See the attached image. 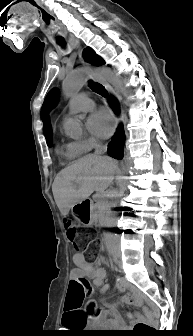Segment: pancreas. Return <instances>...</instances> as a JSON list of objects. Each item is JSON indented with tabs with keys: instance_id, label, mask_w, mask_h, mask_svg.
<instances>
[{
	"instance_id": "obj_1",
	"label": "pancreas",
	"mask_w": 193,
	"mask_h": 336,
	"mask_svg": "<svg viewBox=\"0 0 193 336\" xmlns=\"http://www.w3.org/2000/svg\"><path fill=\"white\" fill-rule=\"evenodd\" d=\"M102 206L106 207V204L103 203ZM104 213L105 209H101L98 203L94 205V220L97 222L98 226L104 224Z\"/></svg>"
}]
</instances>
